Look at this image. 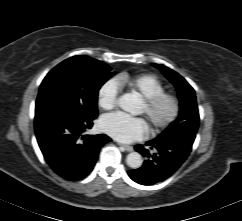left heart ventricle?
Masks as SVG:
<instances>
[{
  "mask_svg": "<svg viewBox=\"0 0 242 221\" xmlns=\"http://www.w3.org/2000/svg\"><path fill=\"white\" fill-rule=\"evenodd\" d=\"M169 111V106L168 104L164 103L162 105H160L156 111L154 112V118L155 119H161L163 118L164 116H166V114L168 113ZM140 112L143 113L144 112V107L143 105L141 106V109H140Z\"/></svg>",
  "mask_w": 242,
  "mask_h": 221,
  "instance_id": "1",
  "label": "left heart ventricle"
}]
</instances>
